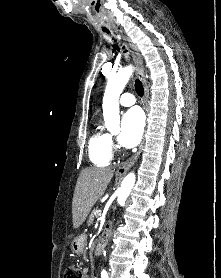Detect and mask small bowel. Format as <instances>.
<instances>
[{"mask_svg": "<svg viewBox=\"0 0 221 278\" xmlns=\"http://www.w3.org/2000/svg\"><path fill=\"white\" fill-rule=\"evenodd\" d=\"M83 274H84V278H90L89 276V270L87 268L83 269Z\"/></svg>", "mask_w": 221, "mask_h": 278, "instance_id": "1", "label": "small bowel"}]
</instances>
